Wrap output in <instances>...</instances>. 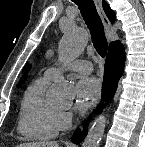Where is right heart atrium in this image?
<instances>
[{"instance_id": "obj_1", "label": "right heart atrium", "mask_w": 145, "mask_h": 147, "mask_svg": "<svg viewBox=\"0 0 145 147\" xmlns=\"http://www.w3.org/2000/svg\"><path fill=\"white\" fill-rule=\"evenodd\" d=\"M73 119V113L70 109H61L58 119V129L59 131L66 130L71 125Z\"/></svg>"}]
</instances>
